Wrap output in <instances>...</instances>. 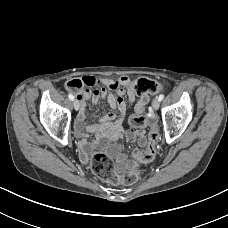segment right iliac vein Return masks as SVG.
<instances>
[{
	"mask_svg": "<svg viewBox=\"0 0 228 228\" xmlns=\"http://www.w3.org/2000/svg\"><path fill=\"white\" fill-rule=\"evenodd\" d=\"M73 106H74V109H75L76 111L79 110L80 104H79V101H78L77 99L73 100Z\"/></svg>",
	"mask_w": 228,
	"mask_h": 228,
	"instance_id": "1",
	"label": "right iliac vein"
}]
</instances>
